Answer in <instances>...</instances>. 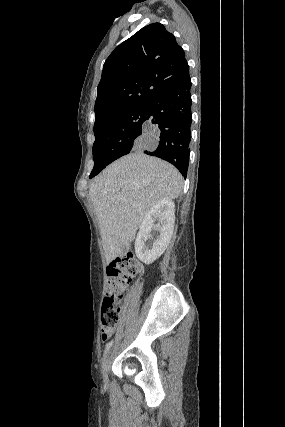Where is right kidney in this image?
I'll return each mask as SVG.
<instances>
[{
	"instance_id": "ca27d5eb",
	"label": "right kidney",
	"mask_w": 285,
	"mask_h": 427,
	"mask_svg": "<svg viewBox=\"0 0 285 427\" xmlns=\"http://www.w3.org/2000/svg\"><path fill=\"white\" fill-rule=\"evenodd\" d=\"M155 221L160 235L153 245L146 244ZM175 223V204L169 198L156 202L144 216L135 240V253L140 261L151 264L158 259L170 243Z\"/></svg>"
}]
</instances>
